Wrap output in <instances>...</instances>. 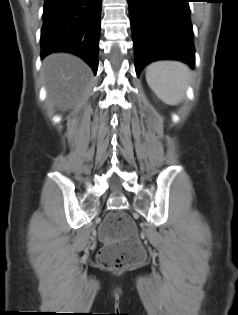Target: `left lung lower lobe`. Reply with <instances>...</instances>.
<instances>
[{"mask_svg":"<svg viewBox=\"0 0 238 315\" xmlns=\"http://www.w3.org/2000/svg\"><path fill=\"white\" fill-rule=\"evenodd\" d=\"M190 0H128L137 76L150 62L195 63Z\"/></svg>","mask_w":238,"mask_h":315,"instance_id":"1","label":"left lung lower lobe"}]
</instances>
